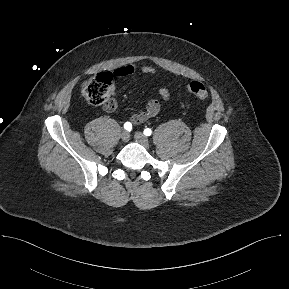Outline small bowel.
<instances>
[{"mask_svg": "<svg viewBox=\"0 0 289 289\" xmlns=\"http://www.w3.org/2000/svg\"><path fill=\"white\" fill-rule=\"evenodd\" d=\"M137 72L142 75H152L156 73V70L152 66L138 67L136 64H130L116 69L114 75L116 77H128L134 75ZM158 95L164 101H168L170 99V92L166 88H160L158 90ZM159 110H160L159 101L150 100L143 111H140L132 115L131 122L133 124H141L155 117L158 114Z\"/></svg>", "mask_w": 289, "mask_h": 289, "instance_id": "1", "label": "small bowel"}]
</instances>
